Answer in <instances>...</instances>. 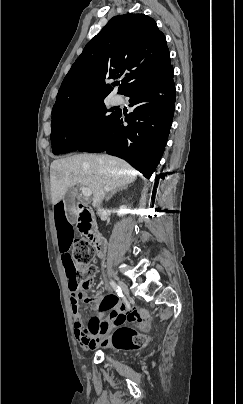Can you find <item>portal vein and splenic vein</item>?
<instances>
[{"label":"portal vein and splenic vein","mask_w":243,"mask_h":404,"mask_svg":"<svg viewBox=\"0 0 243 404\" xmlns=\"http://www.w3.org/2000/svg\"><path fill=\"white\" fill-rule=\"evenodd\" d=\"M82 194H83V196H86V198H88V196H91L92 192H91L90 188H85V186H83Z\"/></svg>","instance_id":"18ae733b"}]
</instances>
